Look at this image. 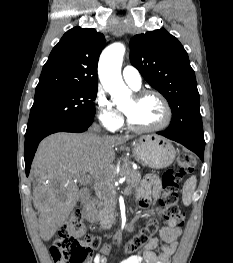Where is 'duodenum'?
I'll return each mask as SVG.
<instances>
[{
    "label": "duodenum",
    "instance_id": "obj_1",
    "mask_svg": "<svg viewBox=\"0 0 233 263\" xmlns=\"http://www.w3.org/2000/svg\"><path fill=\"white\" fill-rule=\"evenodd\" d=\"M83 211L86 218L91 219L93 216V206L89 198L84 201Z\"/></svg>",
    "mask_w": 233,
    "mask_h": 263
}]
</instances>
